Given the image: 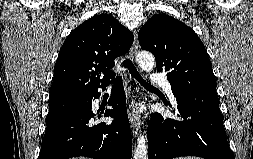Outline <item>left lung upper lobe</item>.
<instances>
[{
	"instance_id": "left-lung-upper-lobe-1",
	"label": "left lung upper lobe",
	"mask_w": 253,
	"mask_h": 159,
	"mask_svg": "<svg viewBox=\"0 0 253 159\" xmlns=\"http://www.w3.org/2000/svg\"><path fill=\"white\" fill-rule=\"evenodd\" d=\"M139 43L152 52L159 72L165 70L173 91L216 93V81L205 47L194 31L166 15L152 16L140 29Z\"/></svg>"
}]
</instances>
